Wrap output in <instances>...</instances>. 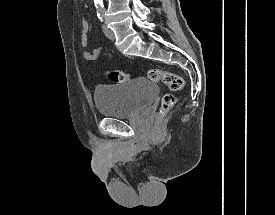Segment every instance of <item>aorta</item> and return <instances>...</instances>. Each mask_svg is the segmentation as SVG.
Masks as SVG:
<instances>
[{
	"label": "aorta",
	"instance_id": "762f6f07",
	"mask_svg": "<svg viewBox=\"0 0 275 215\" xmlns=\"http://www.w3.org/2000/svg\"><path fill=\"white\" fill-rule=\"evenodd\" d=\"M95 4H101L103 0H94Z\"/></svg>",
	"mask_w": 275,
	"mask_h": 215
}]
</instances>
